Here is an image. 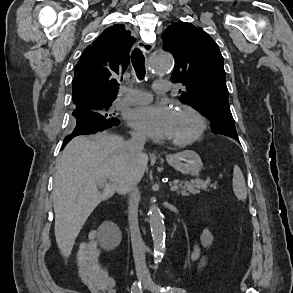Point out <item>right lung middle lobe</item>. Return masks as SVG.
I'll return each instance as SVG.
<instances>
[{"label":"right lung middle lobe","mask_w":293,"mask_h":293,"mask_svg":"<svg viewBox=\"0 0 293 293\" xmlns=\"http://www.w3.org/2000/svg\"><path fill=\"white\" fill-rule=\"evenodd\" d=\"M94 105L96 107L95 112L100 113L106 117H114L115 112L111 108L112 101H106V100L96 101L94 102Z\"/></svg>","instance_id":"right-lung-middle-lobe-1"}]
</instances>
